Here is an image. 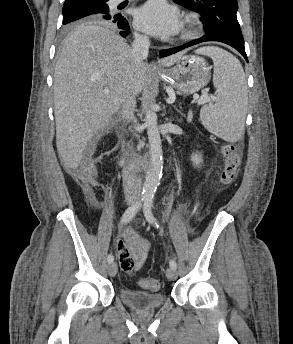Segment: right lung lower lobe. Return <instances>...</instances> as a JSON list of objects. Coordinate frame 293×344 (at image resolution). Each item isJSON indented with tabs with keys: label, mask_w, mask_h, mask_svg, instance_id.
Listing matches in <instances>:
<instances>
[{
	"label": "right lung lower lobe",
	"mask_w": 293,
	"mask_h": 344,
	"mask_svg": "<svg viewBox=\"0 0 293 344\" xmlns=\"http://www.w3.org/2000/svg\"><path fill=\"white\" fill-rule=\"evenodd\" d=\"M92 20H110L111 23H114L118 28L123 29L120 32L122 36H127L129 34V26L127 20L121 15L111 16L109 13H99L91 16Z\"/></svg>",
	"instance_id": "obj_1"
}]
</instances>
